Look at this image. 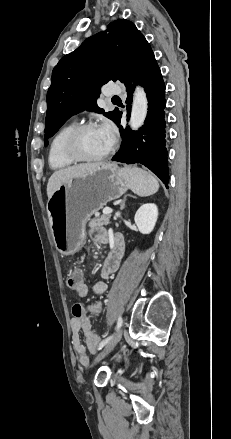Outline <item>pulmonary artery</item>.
<instances>
[{"mask_svg":"<svg viewBox=\"0 0 231 439\" xmlns=\"http://www.w3.org/2000/svg\"><path fill=\"white\" fill-rule=\"evenodd\" d=\"M121 91L122 89L116 84H109L106 88L107 95L118 94L121 93Z\"/></svg>","mask_w":231,"mask_h":439,"instance_id":"obj_1","label":"pulmonary artery"}]
</instances>
